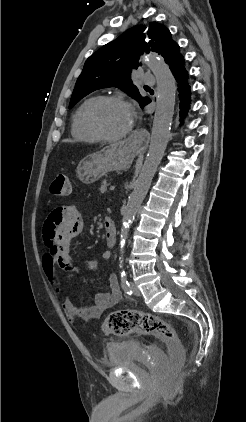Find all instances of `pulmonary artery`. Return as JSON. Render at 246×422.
Listing matches in <instances>:
<instances>
[{"label": "pulmonary artery", "mask_w": 246, "mask_h": 422, "mask_svg": "<svg viewBox=\"0 0 246 422\" xmlns=\"http://www.w3.org/2000/svg\"><path fill=\"white\" fill-rule=\"evenodd\" d=\"M142 82L146 85H154L156 82V78L153 74L145 72L142 74Z\"/></svg>", "instance_id": "e3ab8cb5"}]
</instances>
